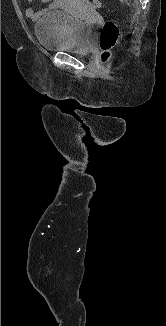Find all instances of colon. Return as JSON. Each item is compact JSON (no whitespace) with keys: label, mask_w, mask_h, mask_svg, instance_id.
Wrapping results in <instances>:
<instances>
[{"label":"colon","mask_w":166,"mask_h":326,"mask_svg":"<svg viewBox=\"0 0 166 326\" xmlns=\"http://www.w3.org/2000/svg\"><path fill=\"white\" fill-rule=\"evenodd\" d=\"M94 8H99L101 3L99 0H92ZM119 39L118 26L113 21H106L99 37V45L102 50L101 62L107 64L111 57V50Z\"/></svg>","instance_id":"5ec220e1"}]
</instances>
